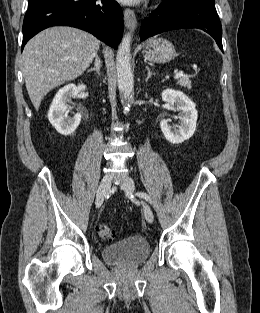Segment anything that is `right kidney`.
Masks as SVG:
<instances>
[{"mask_svg":"<svg viewBox=\"0 0 260 313\" xmlns=\"http://www.w3.org/2000/svg\"><path fill=\"white\" fill-rule=\"evenodd\" d=\"M86 86L69 84L61 88L55 95L50 109L48 119L52 126L61 135H70L75 132L81 121V114L77 113L72 118L68 117L69 112L67 103L75 97L80 91H84Z\"/></svg>","mask_w":260,"mask_h":313,"instance_id":"obj_1","label":"right kidney"}]
</instances>
